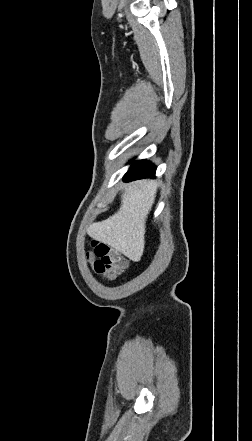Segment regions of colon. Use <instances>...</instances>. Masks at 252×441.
I'll return each mask as SVG.
<instances>
[{"mask_svg":"<svg viewBox=\"0 0 252 441\" xmlns=\"http://www.w3.org/2000/svg\"><path fill=\"white\" fill-rule=\"evenodd\" d=\"M93 252L87 255L95 272L106 280H113L127 266V260L107 244L94 242Z\"/></svg>","mask_w":252,"mask_h":441,"instance_id":"obj_1","label":"colon"}]
</instances>
